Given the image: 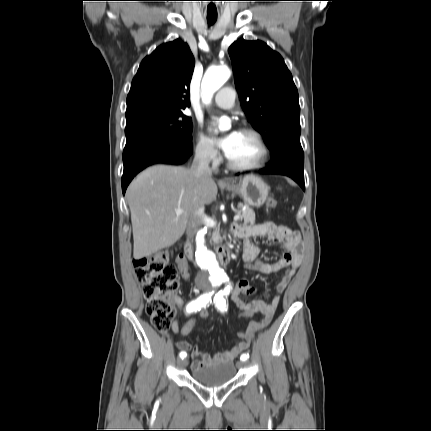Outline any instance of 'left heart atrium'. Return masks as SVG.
<instances>
[{"label": "left heart atrium", "mask_w": 431, "mask_h": 431, "mask_svg": "<svg viewBox=\"0 0 431 431\" xmlns=\"http://www.w3.org/2000/svg\"><path fill=\"white\" fill-rule=\"evenodd\" d=\"M210 130L215 131V127L211 126ZM237 135H238L237 131H231L222 137L216 138L215 142L222 149V151L227 155L232 149V146L237 138Z\"/></svg>", "instance_id": "1"}]
</instances>
